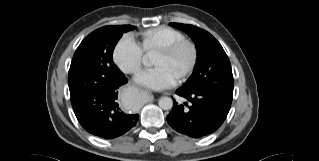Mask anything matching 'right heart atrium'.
<instances>
[{
	"mask_svg": "<svg viewBox=\"0 0 319 161\" xmlns=\"http://www.w3.org/2000/svg\"><path fill=\"white\" fill-rule=\"evenodd\" d=\"M115 64L125 73H137L143 62V51L131 35L123 36L114 46Z\"/></svg>",
	"mask_w": 319,
	"mask_h": 161,
	"instance_id": "obj_1",
	"label": "right heart atrium"
}]
</instances>
